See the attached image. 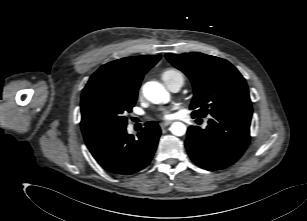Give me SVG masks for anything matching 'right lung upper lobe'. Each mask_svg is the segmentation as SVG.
Segmentation results:
<instances>
[{
	"label": "right lung upper lobe",
	"instance_id": "right-lung-upper-lobe-1",
	"mask_svg": "<svg viewBox=\"0 0 307 221\" xmlns=\"http://www.w3.org/2000/svg\"><path fill=\"white\" fill-rule=\"evenodd\" d=\"M161 58V55L126 57L100 67L83 90L90 87H108L137 94L144 74Z\"/></svg>",
	"mask_w": 307,
	"mask_h": 221
}]
</instances>
